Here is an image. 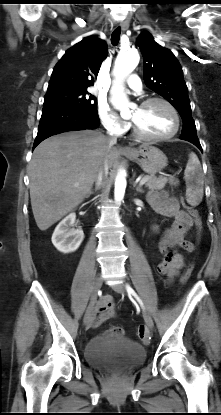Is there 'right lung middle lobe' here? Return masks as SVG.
Segmentation results:
<instances>
[{"label":"right lung middle lobe","instance_id":"dd1d6c3e","mask_svg":"<svg viewBox=\"0 0 221 415\" xmlns=\"http://www.w3.org/2000/svg\"><path fill=\"white\" fill-rule=\"evenodd\" d=\"M44 105H62L82 109L92 114L97 113V99L86 89L62 90L47 93Z\"/></svg>","mask_w":221,"mask_h":415}]
</instances>
